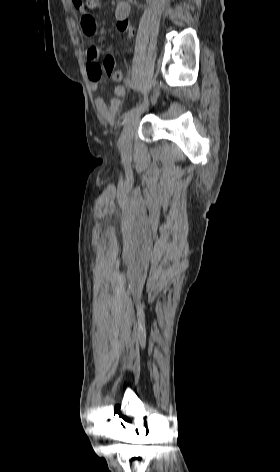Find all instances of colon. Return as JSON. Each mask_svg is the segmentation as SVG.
Instances as JSON below:
<instances>
[{
	"instance_id": "5ec220e1",
	"label": "colon",
	"mask_w": 280,
	"mask_h": 472,
	"mask_svg": "<svg viewBox=\"0 0 280 472\" xmlns=\"http://www.w3.org/2000/svg\"><path fill=\"white\" fill-rule=\"evenodd\" d=\"M77 2H82L85 6L94 7L99 0H79ZM104 69L106 74L113 80L119 81L122 78V71L116 67L115 61L113 59L104 60Z\"/></svg>"
}]
</instances>
